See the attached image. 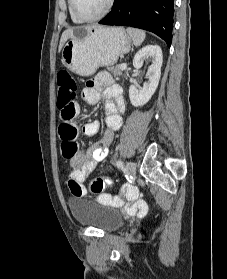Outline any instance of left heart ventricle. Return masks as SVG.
<instances>
[{
	"mask_svg": "<svg viewBox=\"0 0 227 279\" xmlns=\"http://www.w3.org/2000/svg\"><path fill=\"white\" fill-rule=\"evenodd\" d=\"M76 10L83 17H94L101 13L108 0H75Z\"/></svg>",
	"mask_w": 227,
	"mask_h": 279,
	"instance_id": "left-heart-ventricle-1",
	"label": "left heart ventricle"
}]
</instances>
